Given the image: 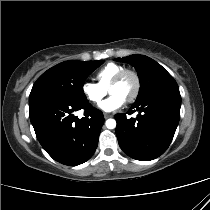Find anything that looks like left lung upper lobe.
<instances>
[{
  "mask_svg": "<svg viewBox=\"0 0 210 210\" xmlns=\"http://www.w3.org/2000/svg\"><path fill=\"white\" fill-rule=\"evenodd\" d=\"M117 61L133 65L140 79V90L135 102L141 101L149 95L170 90H178L175 79L153 59L134 54L131 56L117 58Z\"/></svg>",
  "mask_w": 210,
  "mask_h": 210,
  "instance_id": "5c2ea615",
  "label": "left lung upper lobe"
}]
</instances>
